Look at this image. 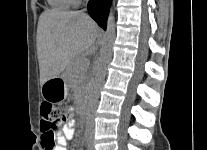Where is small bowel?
Listing matches in <instances>:
<instances>
[{
    "label": "small bowel",
    "mask_w": 207,
    "mask_h": 150,
    "mask_svg": "<svg viewBox=\"0 0 207 150\" xmlns=\"http://www.w3.org/2000/svg\"><path fill=\"white\" fill-rule=\"evenodd\" d=\"M75 129H76V121L74 119H70L63 127L62 131L54 135L55 146L53 147L52 150H67L66 143L67 141L73 138ZM41 141H42V145H44L43 137ZM80 149L85 150L86 146L81 145Z\"/></svg>",
    "instance_id": "c3829d8e"
}]
</instances>
